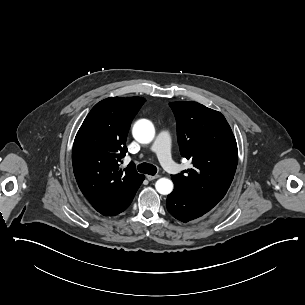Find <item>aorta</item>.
Returning a JSON list of instances; mask_svg holds the SVG:
<instances>
[{
  "label": "aorta",
  "instance_id": "aorta-1",
  "mask_svg": "<svg viewBox=\"0 0 305 305\" xmlns=\"http://www.w3.org/2000/svg\"><path fill=\"white\" fill-rule=\"evenodd\" d=\"M133 137L141 144L150 143L155 136V128L149 120H138L132 130ZM155 188L161 195H168L173 191L174 184L168 178H160L155 183Z\"/></svg>",
  "mask_w": 305,
  "mask_h": 305
}]
</instances>
